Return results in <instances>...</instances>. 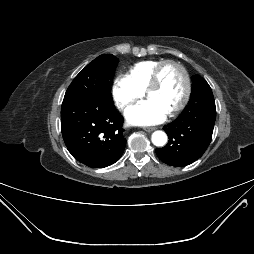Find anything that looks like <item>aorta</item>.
<instances>
[{
  "label": "aorta",
  "mask_w": 254,
  "mask_h": 254,
  "mask_svg": "<svg viewBox=\"0 0 254 254\" xmlns=\"http://www.w3.org/2000/svg\"><path fill=\"white\" fill-rule=\"evenodd\" d=\"M151 139L156 146H164L167 143V135L163 131H155Z\"/></svg>",
  "instance_id": "1"
}]
</instances>
